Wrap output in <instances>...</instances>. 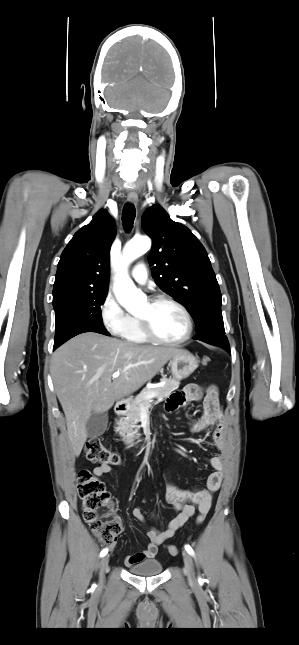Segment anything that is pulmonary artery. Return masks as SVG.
<instances>
[{"instance_id":"1","label":"pulmonary artery","mask_w":299,"mask_h":645,"mask_svg":"<svg viewBox=\"0 0 299 645\" xmlns=\"http://www.w3.org/2000/svg\"><path fill=\"white\" fill-rule=\"evenodd\" d=\"M131 275L136 282L145 284L148 279V271L146 265L144 263L135 265V267L132 269Z\"/></svg>"}]
</instances>
